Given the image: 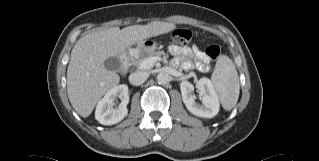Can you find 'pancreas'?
Returning a JSON list of instances; mask_svg holds the SVG:
<instances>
[{
  "label": "pancreas",
  "mask_w": 319,
  "mask_h": 161,
  "mask_svg": "<svg viewBox=\"0 0 319 161\" xmlns=\"http://www.w3.org/2000/svg\"><path fill=\"white\" fill-rule=\"evenodd\" d=\"M161 56H163V58H165V59L168 57V55H166L163 51L141 54L138 58H133L131 61V64L135 65V66H139L140 63L147 58H150V57H159L160 58Z\"/></svg>",
  "instance_id": "1"
}]
</instances>
